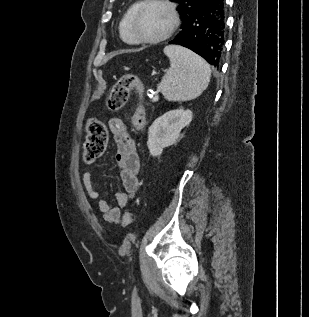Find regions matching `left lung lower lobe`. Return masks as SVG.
<instances>
[{"mask_svg": "<svg viewBox=\"0 0 309 317\" xmlns=\"http://www.w3.org/2000/svg\"><path fill=\"white\" fill-rule=\"evenodd\" d=\"M226 33L225 0H205L183 22L182 29L170 44L191 49L218 68Z\"/></svg>", "mask_w": 309, "mask_h": 317, "instance_id": "left-lung-lower-lobe-1", "label": "left lung lower lobe"}]
</instances>
